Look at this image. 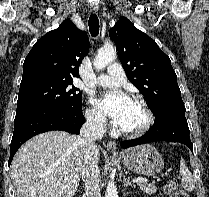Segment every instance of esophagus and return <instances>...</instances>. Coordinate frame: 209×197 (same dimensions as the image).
<instances>
[{
	"instance_id": "esophagus-1",
	"label": "esophagus",
	"mask_w": 209,
	"mask_h": 197,
	"mask_svg": "<svg viewBox=\"0 0 209 197\" xmlns=\"http://www.w3.org/2000/svg\"><path fill=\"white\" fill-rule=\"evenodd\" d=\"M90 10L94 13L98 12L99 10V5L97 3H91L90 4ZM107 150L114 153V154H118V150H117V144L116 142L112 141V140H109L107 142Z\"/></svg>"
}]
</instances>
